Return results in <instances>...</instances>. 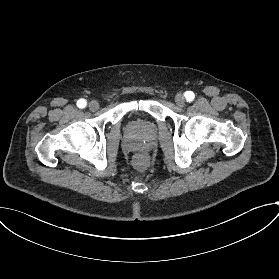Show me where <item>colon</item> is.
Here are the masks:
<instances>
[{
  "label": "colon",
  "mask_w": 279,
  "mask_h": 279,
  "mask_svg": "<svg viewBox=\"0 0 279 279\" xmlns=\"http://www.w3.org/2000/svg\"><path fill=\"white\" fill-rule=\"evenodd\" d=\"M131 167L137 173H144L150 167V160L144 154H137L131 160Z\"/></svg>",
  "instance_id": "5ec220e1"
}]
</instances>
